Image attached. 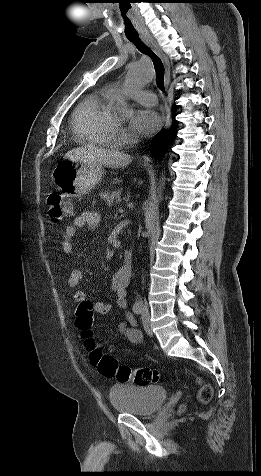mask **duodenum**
<instances>
[{
    "mask_svg": "<svg viewBox=\"0 0 261 476\" xmlns=\"http://www.w3.org/2000/svg\"><path fill=\"white\" fill-rule=\"evenodd\" d=\"M132 265H133V253L130 250H126L124 252V257H123V269L124 271L130 275L132 271Z\"/></svg>",
    "mask_w": 261,
    "mask_h": 476,
    "instance_id": "1",
    "label": "duodenum"
}]
</instances>
